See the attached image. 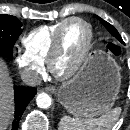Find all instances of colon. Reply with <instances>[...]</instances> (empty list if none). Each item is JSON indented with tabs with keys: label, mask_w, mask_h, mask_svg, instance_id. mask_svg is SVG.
I'll return each mask as SVG.
<instances>
[{
	"label": "colon",
	"mask_w": 130,
	"mask_h": 130,
	"mask_svg": "<svg viewBox=\"0 0 130 130\" xmlns=\"http://www.w3.org/2000/svg\"><path fill=\"white\" fill-rule=\"evenodd\" d=\"M109 49L113 52V53H117L118 51H117V48L115 47V46H113V45H109Z\"/></svg>",
	"instance_id": "5ec220e1"
}]
</instances>
